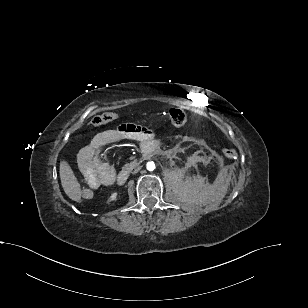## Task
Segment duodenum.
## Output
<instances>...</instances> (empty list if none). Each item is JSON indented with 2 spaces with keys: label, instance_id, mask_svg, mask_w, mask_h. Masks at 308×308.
<instances>
[{
  "label": "duodenum",
  "instance_id": "410a0bca",
  "mask_svg": "<svg viewBox=\"0 0 308 308\" xmlns=\"http://www.w3.org/2000/svg\"><path fill=\"white\" fill-rule=\"evenodd\" d=\"M140 150H141V153L144 157H148L151 155V153H153L155 151V145L153 143H142L140 145ZM137 166V164L135 165ZM129 174H130V170L129 169H124L122 171H120L116 177V181L119 185H122L124 184L128 177H129Z\"/></svg>",
  "mask_w": 308,
  "mask_h": 308
}]
</instances>
